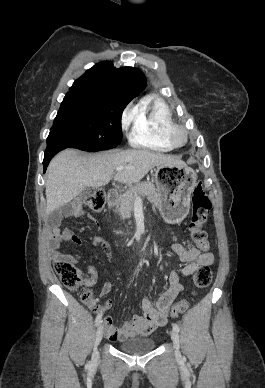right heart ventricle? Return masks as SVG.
Instances as JSON below:
<instances>
[{
  "label": "right heart ventricle",
  "instance_id": "obj_1",
  "mask_svg": "<svg viewBox=\"0 0 265 388\" xmlns=\"http://www.w3.org/2000/svg\"><path fill=\"white\" fill-rule=\"evenodd\" d=\"M172 124L169 107L161 101L146 98L135 111L131 139L136 145L158 151L169 150L174 146L169 136Z\"/></svg>",
  "mask_w": 265,
  "mask_h": 388
}]
</instances>
